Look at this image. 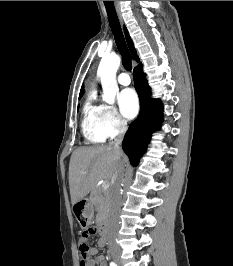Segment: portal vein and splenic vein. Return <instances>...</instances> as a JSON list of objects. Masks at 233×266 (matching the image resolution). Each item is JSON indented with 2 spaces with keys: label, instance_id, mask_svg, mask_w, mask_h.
<instances>
[{
  "label": "portal vein and splenic vein",
  "instance_id": "1",
  "mask_svg": "<svg viewBox=\"0 0 233 266\" xmlns=\"http://www.w3.org/2000/svg\"><path fill=\"white\" fill-rule=\"evenodd\" d=\"M102 188L103 189H108L109 188V183L107 181H105L103 184H102Z\"/></svg>",
  "mask_w": 233,
  "mask_h": 266
}]
</instances>
